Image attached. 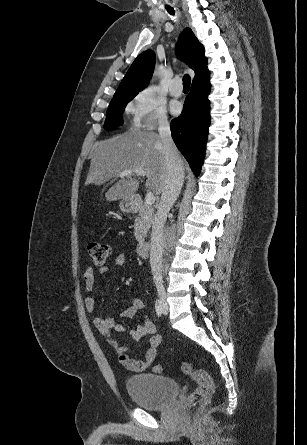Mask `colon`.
Returning <instances> with one entry per match:
<instances>
[{
  "mask_svg": "<svg viewBox=\"0 0 307 445\" xmlns=\"http://www.w3.org/2000/svg\"><path fill=\"white\" fill-rule=\"evenodd\" d=\"M88 253L96 266H102L110 256V246L98 242L90 243L88 244ZM154 371L160 373L163 371V367L156 365ZM181 372L190 375L197 383L196 389L188 398V408L193 410L204 407L214 392V383L211 377L203 369L195 367L188 361L181 364Z\"/></svg>",
  "mask_w": 307,
  "mask_h": 445,
  "instance_id": "colon-1",
  "label": "colon"
}]
</instances>
